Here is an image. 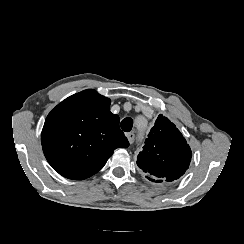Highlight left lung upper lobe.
I'll return each instance as SVG.
<instances>
[{
    "instance_id": "obj_1",
    "label": "left lung upper lobe",
    "mask_w": 244,
    "mask_h": 244,
    "mask_svg": "<svg viewBox=\"0 0 244 244\" xmlns=\"http://www.w3.org/2000/svg\"><path fill=\"white\" fill-rule=\"evenodd\" d=\"M192 152L185 138L166 117L159 115L137 158V165L152 182H172L188 169Z\"/></svg>"
}]
</instances>
